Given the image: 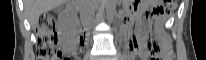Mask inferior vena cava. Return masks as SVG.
I'll return each mask as SVG.
<instances>
[{"instance_id": "obj_1", "label": "inferior vena cava", "mask_w": 206, "mask_h": 60, "mask_svg": "<svg viewBox=\"0 0 206 60\" xmlns=\"http://www.w3.org/2000/svg\"><path fill=\"white\" fill-rule=\"evenodd\" d=\"M95 2V0H93ZM85 20L88 21V22H93L94 19H93V14L91 12H86L85 13Z\"/></svg>"}]
</instances>
